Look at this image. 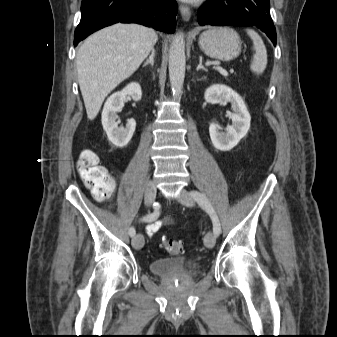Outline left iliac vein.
<instances>
[{
	"mask_svg": "<svg viewBox=\"0 0 337 337\" xmlns=\"http://www.w3.org/2000/svg\"><path fill=\"white\" fill-rule=\"evenodd\" d=\"M179 202L187 207H193L194 206V200L192 196L189 194V192L185 189H182L180 191V196L178 198ZM216 243V236L212 232H208L206 236L204 237V244L207 248L211 249L215 246Z\"/></svg>",
	"mask_w": 337,
	"mask_h": 337,
	"instance_id": "left-iliac-vein-1",
	"label": "left iliac vein"
}]
</instances>
